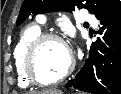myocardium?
<instances>
[{
    "mask_svg": "<svg viewBox=\"0 0 121 94\" xmlns=\"http://www.w3.org/2000/svg\"><path fill=\"white\" fill-rule=\"evenodd\" d=\"M46 41H57L61 43L69 52V64L64 70V72L52 81H43L38 78L34 70V60L35 55L39 47ZM23 68L28 81L39 87H51L63 82L66 78L70 76L75 68V58L72 50L69 48L64 39L55 33H41L35 37L27 46L24 58H23Z\"/></svg>",
    "mask_w": 121,
    "mask_h": 94,
    "instance_id": "1",
    "label": "myocardium"
}]
</instances>
